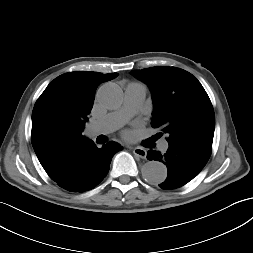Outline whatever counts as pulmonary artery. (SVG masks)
Returning <instances> with one entry per match:
<instances>
[{
  "mask_svg": "<svg viewBox=\"0 0 253 253\" xmlns=\"http://www.w3.org/2000/svg\"><path fill=\"white\" fill-rule=\"evenodd\" d=\"M146 96V86L140 83H129L125 88L123 106L114 112L108 113L101 119L91 123L86 130L89 137L106 135L124 124L130 117L136 114L144 102ZM169 147L166 139L162 140L159 149L167 151Z\"/></svg>",
  "mask_w": 253,
  "mask_h": 253,
  "instance_id": "1",
  "label": "pulmonary artery"
}]
</instances>
